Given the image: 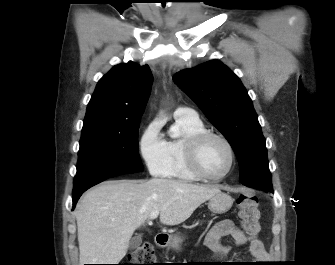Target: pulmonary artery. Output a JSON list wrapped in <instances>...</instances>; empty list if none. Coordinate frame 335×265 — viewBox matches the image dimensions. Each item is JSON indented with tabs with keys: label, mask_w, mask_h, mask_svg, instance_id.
Here are the masks:
<instances>
[{
	"label": "pulmonary artery",
	"mask_w": 335,
	"mask_h": 265,
	"mask_svg": "<svg viewBox=\"0 0 335 265\" xmlns=\"http://www.w3.org/2000/svg\"><path fill=\"white\" fill-rule=\"evenodd\" d=\"M175 118H186L196 120L199 119L198 114L195 110L187 107H178L174 112Z\"/></svg>",
	"instance_id": "pulmonary-artery-1"
}]
</instances>
